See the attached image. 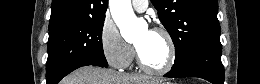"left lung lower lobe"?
<instances>
[{"mask_svg":"<svg viewBox=\"0 0 260 84\" xmlns=\"http://www.w3.org/2000/svg\"><path fill=\"white\" fill-rule=\"evenodd\" d=\"M221 43L208 44L193 51L179 66L165 77H199L212 84H224V67L221 62Z\"/></svg>","mask_w":260,"mask_h":84,"instance_id":"0a47b994","label":"left lung lower lobe"}]
</instances>
